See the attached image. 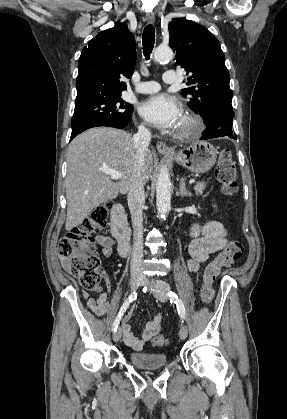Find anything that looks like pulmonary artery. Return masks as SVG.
<instances>
[{
	"instance_id": "obj_1",
	"label": "pulmonary artery",
	"mask_w": 287,
	"mask_h": 419,
	"mask_svg": "<svg viewBox=\"0 0 287 419\" xmlns=\"http://www.w3.org/2000/svg\"><path fill=\"white\" fill-rule=\"evenodd\" d=\"M163 81L166 84H172L176 82V75L173 70H168L163 74ZM139 93H154L160 90V84L156 81H145L141 82L136 87Z\"/></svg>"
}]
</instances>
